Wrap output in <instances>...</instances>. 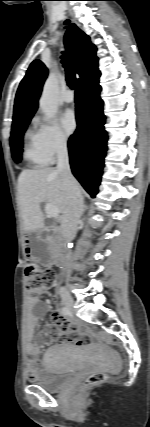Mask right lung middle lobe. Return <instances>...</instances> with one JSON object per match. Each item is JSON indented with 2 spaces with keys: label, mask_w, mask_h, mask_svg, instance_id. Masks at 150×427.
Wrapping results in <instances>:
<instances>
[{
  "label": "right lung middle lobe",
  "mask_w": 150,
  "mask_h": 427,
  "mask_svg": "<svg viewBox=\"0 0 150 427\" xmlns=\"http://www.w3.org/2000/svg\"><path fill=\"white\" fill-rule=\"evenodd\" d=\"M30 120L31 118H27L24 120L14 122L12 125L10 145H11L12 157L15 160V162H20L21 160V153L23 148L22 138Z\"/></svg>",
  "instance_id": "dd1d6c3e"
}]
</instances>
